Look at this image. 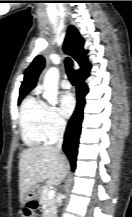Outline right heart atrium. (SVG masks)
Wrapping results in <instances>:
<instances>
[{
	"instance_id": "d8ad5b80",
	"label": "right heart atrium",
	"mask_w": 132,
	"mask_h": 217,
	"mask_svg": "<svg viewBox=\"0 0 132 217\" xmlns=\"http://www.w3.org/2000/svg\"><path fill=\"white\" fill-rule=\"evenodd\" d=\"M66 122L55 107L48 106L44 118V132L47 140H54L65 130Z\"/></svg>"
}]
</instances>
